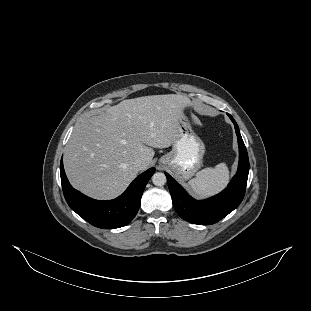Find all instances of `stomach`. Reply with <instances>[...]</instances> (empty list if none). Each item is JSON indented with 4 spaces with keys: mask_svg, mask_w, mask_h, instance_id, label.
I'll use <instances>...</instances> for the list:
<instances>
[{
    "mask_svg": "<svg viewBox=\"0 0 311 311\" xmlns=\"http://www.w3.org/2000/svg\"><path fill=\"white\" fill-rule=\"evenodd\" d=\"M204 154L203 140L183 114L179 120V137L172 144V150L159 159V164L170 168L180 180H189L201 168Z\"/></svg>",
    "mask_w": 311,
    "mask_h": 311,
    "instance_id": "1",
    "label": "stomach"
}]
</instances>
